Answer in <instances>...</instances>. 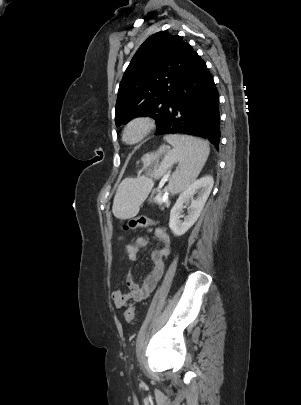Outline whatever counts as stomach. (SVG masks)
Masks as SVG:
<instances>
[{"instance_id": "stomach-1", "label": "stomach", "mask_w": 301, "mask_h": 405, "mask_svg": "<svg viewBox=\"0 0 301 405\" xmlns=\"http://www.w3.org/2000/svg\"><path fill=\"white\" fill-rule=\"evenodd\" d=\"M172 150L170 149L169 146L167 145H162L159 147V149L155 152L147 153L145 154L141 161L143 164V169H150L152 166H157L160 158L164 155L166 156L168 153H170Z\"/></svg>"}]
</instances>
